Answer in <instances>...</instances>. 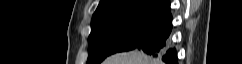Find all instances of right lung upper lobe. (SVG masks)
I'll use <instances>...</instances> for the list:
<instances>
[{"mask_svg":"<svg viewBox=\"0 0 242 64\" xmlns=\"http://www.w3.org/2000/svg\"><path fill=\"white\" fill-rule=\"evenodd\" d=\"M133 11H151L163 13L170 11L169 0H101L93 14L92 21H96L104 16Z\"/></svg>","mask_w":242,"mask_h":64,"instance_id":"cb5924a9","label":"right lung upper lobe"}]
</instances>
